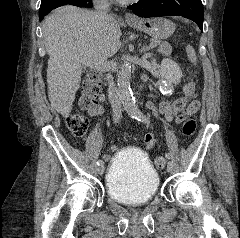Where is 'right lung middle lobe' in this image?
Here are the masks:
<instances>
[{
    "mask_svg": "<svg viewBox=\"0 0 240 238\" xmlns=\"http://www.w3.org/2000/svg\"><path fill=\"white\" fill-rule=\"evenodd\" d=\"M59 1L68 2V0H41V5L39 9V14H44L47 12L53 5Z\"/></svg>",
    "mask_w": 240,
    "mask_h": 238,
    "instance_id": "obj_1",
    "label": "right lung middle lobe"
}]
</instances>
